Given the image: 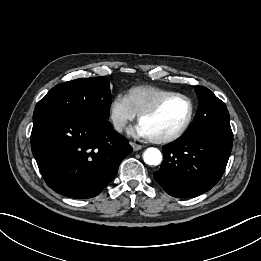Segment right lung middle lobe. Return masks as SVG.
Listing matches in <instances>:
<instances>
[{"mask_svg": "<svg viewBox=\"0 0 261 261\" xmlns=\"http://www.w3.org/2000/svg\"><path fill=\"white\" fill-rule=\"evenodd\" d=\"M111 105L109 79L81 78L53 87L36 105L35 110L72 113L93 119L112 128L108 121Z\"/></svg>", "mask_w": 261, "mask_h": 261, "instance_id": "dd1d6c3e", "label": "right lung middle lobe"}]
</instances>
